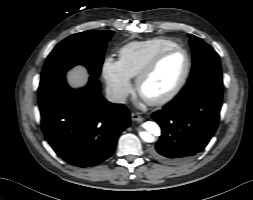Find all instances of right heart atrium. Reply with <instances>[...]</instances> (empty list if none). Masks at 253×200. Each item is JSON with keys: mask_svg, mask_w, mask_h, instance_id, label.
<instances>
[{"mask_svg": "<svg viewBox=\"0 0 253 200\" xmlns=\"http://www.w3.org/2000/svg\"><path fill=\"white\" fill-rule=\"evenodd\" d=\"M102 77L110 98L122 103L132 90L130 77L124 72L119 60L107 57L102 63Z\"/></svg>", "mask_w": 253, "mask_h": 200, "instance_id": "d8ad5b80", "label": "right heart atrium"}]
</instances>
